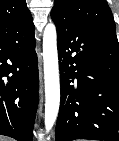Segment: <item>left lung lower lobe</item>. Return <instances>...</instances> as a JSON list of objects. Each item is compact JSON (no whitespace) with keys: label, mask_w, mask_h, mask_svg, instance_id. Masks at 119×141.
Returning a JSON list of instances; mask_svg holds the SVG:
<instances>
[{"label":"left lung lower lobe","mask_w":119,"mask_h":141,"mask_svg":"<svg viewBox=\"0 0 119 141\" xmlns=\"http://www.w3.org/2000/svg\"><path fill=\"white\" fill-rule=\"evenodd\" d=\"M52 19L61 84L56 141H119L117 37Z\"/></svg>","instance_id":"0a47b994"}]
</instances>
